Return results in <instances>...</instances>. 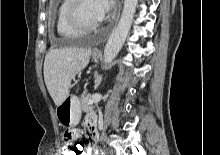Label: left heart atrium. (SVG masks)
I'll list each match as a JSON object with an SVG mask.
<instances>
[{
    "instance_id": "1",
    "label": "left heart atrium",
    "mask_w": 220,
    "mask_h": 155,
    "mask_svg": "<svg viewBox=\"0 0 220 155\" xmlns=\"http://www.w3.org/2000/svg\"><path fill=\"white\" fill-rule=\"evenodd\" d=\"M94 8L99 20H103L112 10V0H93Z\"/></svg>"
}]
</instances>
